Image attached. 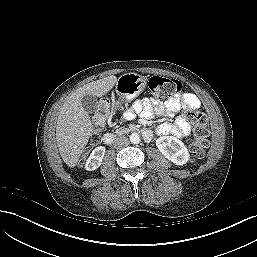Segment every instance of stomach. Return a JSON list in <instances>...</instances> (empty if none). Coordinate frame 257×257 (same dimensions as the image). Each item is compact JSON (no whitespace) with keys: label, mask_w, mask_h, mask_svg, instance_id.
<instances>
[{"label":"stomach","mask_w":257,"mask_h":257,"mask_svg":"<svg viewBox=\"0 0 257 257\" xmlns=\"http://www.w3.org/2000/svg\"><path fill=\"white\" fill-rule=\"evenodd\" d=\"M145 86V77L137 73H126L118 78L116 92L121 98L130 101L136 98Z\"/></svg>","instance_id":"obj_1"}]
</instances>
